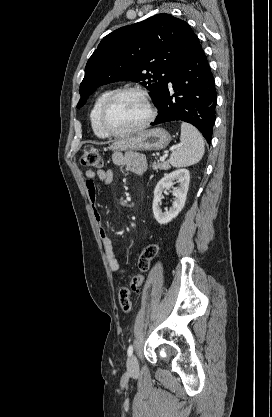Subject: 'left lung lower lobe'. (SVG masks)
<instances>
[{
	"label": "left lung lower lobe",
	"mask_w": 272,
	"mask_h": 417,
	"mask_svg": "<svg viewBox=\"0 0 272 417\" xmlns=\"http://www.w3.org/2000/svg\"><path fill=\"white\" fill-rule=\"evenodd\" d=\"M216 90L208 61L200 48L169 76L156 107L153 125L184 121L197 127L208 143L215 123Z\"/></svg>",
	"instance_id": "1"
}]
</instances>
